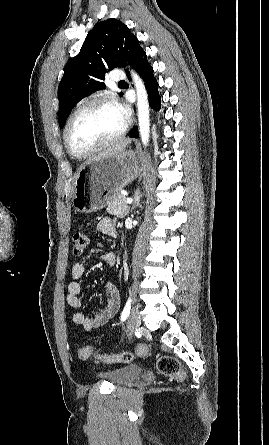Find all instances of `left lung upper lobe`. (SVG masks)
Wrapping results in <instances>:
<instances>
[{
    "label": "left lung upper lobe",
    "instance_id": "1",
    "mask_svg": "<svg viewBox=\"0 0 269 445\" xmlns=\"http://www.w3.org/2000/svg\"><path fill=\"white\" fill-rule=\"evenodd\" d=\"M143 52L138 39L121 21L111 18L95 25L79 54L65 66L58 87L60 128L82 98L105 89L102 81L109 70L126 64L133 67Z\"/></svg>",
    "mask_w": 269,
    "mask_h": 445
}]
</instances>
